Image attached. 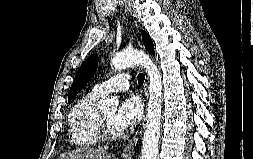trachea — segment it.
I'll return each mask as SVG.
<instances>
[{
  "instance_id": "3493384b",
  "label": "trachea",
  "mask_w": 253,
  "mask_h": 159,
  "mask_svg": "<svg viewBox=\"0 0 253 159\" xmlns=\"http://www.w3.org/2000/svg\"><path fill=\"white\" fill-rule=\"evenodd\" d=\"M137 79H138L139 85H143L144 80H145V75L144 74H139Z\"/></svg>"
}]
</instances>
